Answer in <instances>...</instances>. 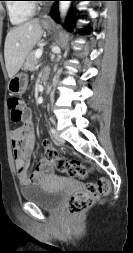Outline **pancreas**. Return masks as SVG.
<instances>
[{
  "mask_svg": "<svg viewBox=\"0 0 133 253\" xmlns=\"http://www.w3.org/2000/svg\"><path fill=\"white\" fill-rule=\"evenodd\" d=\"M36 51H30L27 55L26 62L24 64V69L32 71L34 70L36 64L38 63V59L35 57Z\"/></svg>",
  "mask_w": 133,
  "mask_h": 253,
  "instance_id": "cf45deb5",
  "label": "pancreas"
}]
</instances>
